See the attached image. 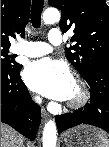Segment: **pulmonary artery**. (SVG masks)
I'll use <instances>...</instances> for the list:
<instances>
[{
	"instance_id": "e3ab8cb5",
	"label": "pulmonary artery",
	"mask_w": 109,
	"mask_h": 147,
	"mask_svg": "<svg viewBox=\"0 0 109 147\" xmlns=\"http://www.w3.org/2000/svg\"><path fill=\"white\" fill-rule=\"evenodd\" d=\"M47 40L53 45H59L62 42V33L60 31L50 32L47 35ZM49 43L22 41L14 46L13 52L30 58L40 57L52 51Z\"/></svg>"
}]
</instances>
